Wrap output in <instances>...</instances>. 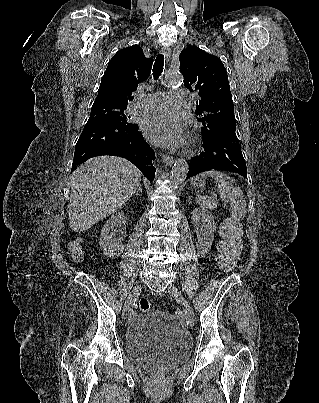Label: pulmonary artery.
Masks as SVG:
<instances>
[{
  "label": "pulmonary artery",
  "instance_id": "pulmonary-artery-1",
  "mask_svg": "<svg viewBox=\"0 0 319 403\" xmlns=\"http://www.w3.org/2000/svg\"><path fill=\"white\" fill-rule=\"evenodd\" d=\"M187 94L182 89L171 90L166 93L147 95L137 108L142 111H163L169 107H183L187 102Z\"/></svg>",
  "mask_w": 319,
  "mask_h": 403
}]
</instances>
